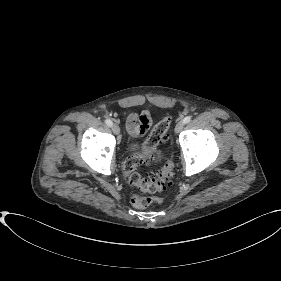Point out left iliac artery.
I'll use <instances>...</instances> for the list:
<instances>
[{"label":"left iliac artery","mask_w":281,"mask_h":281,"mask_svg":"<svg viewBox=\"0 0 281 281\" xmlns=\"http://www.w3.org/2000/svg\"><path fill=\"white\" fill-rule=\"evenodd\" d=\"M191 120V117L190 116H186L184 119H183V122L186 124V123H189Z\"/></svg>","instance_id":"1"}]
</instances>
